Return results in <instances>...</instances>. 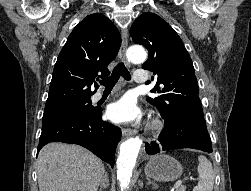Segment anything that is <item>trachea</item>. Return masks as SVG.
I'll list each match as a JSON object with an SVG mask.
<instances>
[{"label": "trachea", "mask_w": 251, "mask_h": 191, "mask_svg": "<svg viewBox=\"0 0 251 191\" xmlns=\"http://www.w3.org/2000/svg\"><path fill=\"white\" fill-rule=\"evenodd\" d=\"M120 76H123V78L127 81L131 80V75L124 65V63H118L117 66H115L112 75L108 78H105V80H101L100 84L105 87V89H112L116 85L117 81L119 80Z\"/></svg>", "instance_id": "obj_1"}]
</instances>
